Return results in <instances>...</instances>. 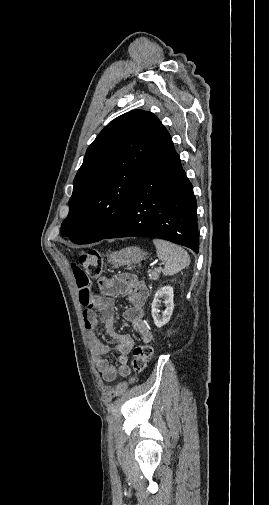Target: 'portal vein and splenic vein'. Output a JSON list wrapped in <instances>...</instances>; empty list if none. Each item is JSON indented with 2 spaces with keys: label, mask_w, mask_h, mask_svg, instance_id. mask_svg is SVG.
<instances>
[{
  "label": "portal vein and splenic vein",
  "mask_w": 269,
  "mask_h": 505,
  "mask_svg": "<svg viewBox=\"0 0 269 505\" xmlns=\"http://www.w3.org/2000/svg\"><path fill=\"white\" fill-rule=\"evenodd\" d=\"M163 264H164V263H160L159 265L161 266V265H163Z\"/></svg>",
  "instance_id": "obj_1"
}]
</instances>
